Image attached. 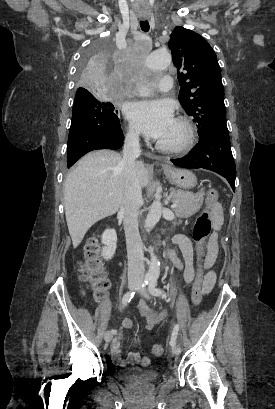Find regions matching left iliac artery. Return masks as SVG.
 Here are the masks:
<instances>
[{"label":"left iliac artery","instance_id":"obj_1","mask_svg":"<svg viewBox=\"0 0 275 409\" xmlns=\"http://www.w3.org/2000/svg\"><path fill=\"white\" fill-rule=\"evenodd\" d=\"M148 289H149L150 293L152 295H154V296L162 295V290L157 287V276H153L150 279L149 284H148ZM178 331H179V325L175 324L174 328H173L171 340H170L171 347L176 345V339H177Z\"/></svg>","mask_w":275,"mask_h":409}]
</instances>
